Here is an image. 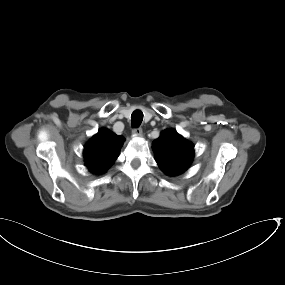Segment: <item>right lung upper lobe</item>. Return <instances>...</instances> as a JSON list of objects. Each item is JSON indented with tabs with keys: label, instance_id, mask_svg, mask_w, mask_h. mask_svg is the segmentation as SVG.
<instances>
[{
	"label": "right lung upper lobe",
	"instance_id": "right-lung-upper-lobe-1",
	"mask_svg": "<svg viewBox=\"0 0 285 285\" xmlns=\"http://www.w3.org/2000/svg\"><path fill=\"white\" fill-rule=\"evenodd\" d=\"M125 139L107 129H101L84 147L85 165L94 174L108 170L119 156Z\"/></svg>",
	"mask_w": 285,
	"mask_h": 285
}]
</instances>
